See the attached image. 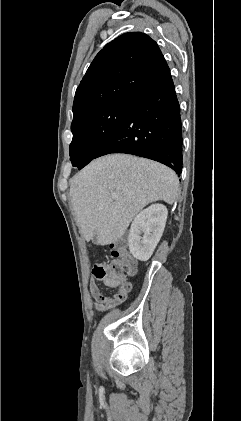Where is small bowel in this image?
Returning a JSON list of instances; mask_svg holds the SVG:
<instances>
[{"label":"small bowel","instance_id":"c3829d8e","mask_svg":"<svg viewBox=\"0 0 241 421\" xmlns=\"http://www.w3.org/2000/svg\"><path fill=\"white\" fill-rule=\"evenodd\" d=\"M104 284L109 287L117 288L116 293L111 296H106L101 292L100 288L98 287V285L96 284L94 280L91 279L89 281V291L95 300L93 303V307L97 311L108 310L122 304L126 300L131 290L130 283L128 286H121V287L113 286L109 284L108 282H104Z\"/></svg>","mask_w":241,"mask_h":421}]
</instances>
